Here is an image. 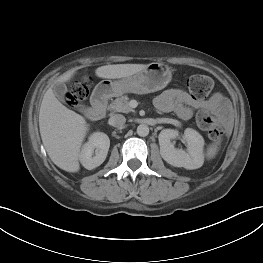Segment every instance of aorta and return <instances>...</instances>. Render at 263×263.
<instances>
[{
    "instance_id": "aorta-1",
    "label": "aorta",
    "mask_w": 263,
    "mask_h": 263,
    "mask_svg": "<svg viewBox=\"0 0 263 263\" xmlns=\"http://www.w3.org/2000/svg\"><path fill=\"white\" fill-rule=\"evenodd\" d=\"M137 134L141 137H145L149 134V127L146 124H140L137 127Z\"/></svg>"
}]
</instances>
